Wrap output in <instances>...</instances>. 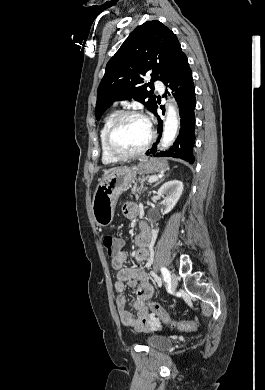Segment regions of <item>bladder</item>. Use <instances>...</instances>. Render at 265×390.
I'll return each instance as SVG.
<instances>
[{"label": "bladder", "mask_w": 265, "mask_h": 390, "mask_svg": "<svg viewBox=\"0 0 265 390\" xmlns=\"http://www.w3.org/2000/svg\"><path fill=\"white\" fill-rule=\"evenodd\" d=\"M146 343L153 349L163 350L172 345V341L164 336L151 335L146 338Z\"/></svg>", "instance_id": "31cf9c89"}]
</instances>
